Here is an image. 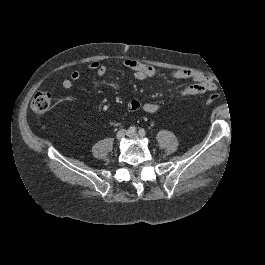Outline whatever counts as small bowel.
I'll return each mask as SVG.
<instances>
[{"instance_id":"1","label":"small bowel","mask_w":265,"mask_h":265,"mask_svg":"<svg viewBox=\"0 0 265 265\" xmlns=\"http://www.w3.org/2000/svg\"><path fill=\"white\" fill-rule=\"evenodd\" d=\"M122 64L130 69L133 72L134 77L138 80H145L158 75V71L153 66L137 60L126 59ZM87 69L94 71L99 76L105 75L107 71L106 66L98 61L89 63ZM80 76L81 74L78 70H73L70 73L69 78L63 80L62 87L64 89H70L74 81L78 80ZM171 76L177 79H189L194 82L181 91L182 97L199 95L215 89V84L209 77L196 71L177 70L172 72ZM127 107L129 111L142 109L151 114L157 113L161 109V106L157 103L142 102L136 98L130 99L127 103Z\"/></svg>"}]
</instances>
